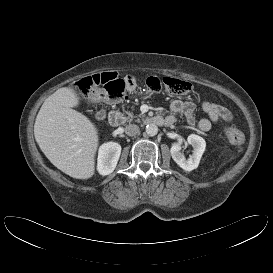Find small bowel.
Here are the masks:
<instances>
[{
	"label": "small bowel",
	"instance_id": "obj_1",
	"mask_svg": "<svg viewBox=\"0 0 273 273\" xmlns=\"http://www.w3.org/2000/svg\"><path fill=\"white\" fill-rule=\"evenodd\" d=\"M199 107L200 110L208 116V118H201L197 124L198 128L203 132L209 131L213 124L219 123L220 121L230 122L232 120L231 112L221 105L208 100H201ZM169 108L172 114L166 118L171 120L172 124L176 121V114H183L190 125H195L197 106L192 101L175 99L171 102Z\"/></svg>",
	"mask_w": 273,
	"mask_h": 273
}]
</instances>
